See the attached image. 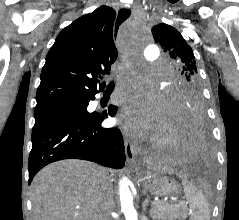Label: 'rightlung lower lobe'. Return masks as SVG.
Segmentation results:
<instances>
[{
  "instance_id": "98d812e1",
  "label": "right lung lower lobe",
  "mask_w": 239,
  "mask_h": 220,
  "mask_svg": "<svg viewBox=\"0 0 239 220\" xmlns=\"http://www.w3.org/2000/svg\"><path fill=\"white\" fill-rule=\"evenodd\" d=\"M90 100L81 104L87 107ZM116 111L117 107L110 105L103 115L94 114L88 119L59 116L36 118L28 164L29 184L41 168L62 159H83L107 167L122 168L125 154L120 130L101 127L104 118L114 116Z\"/></svg>"
}]
</instances>
